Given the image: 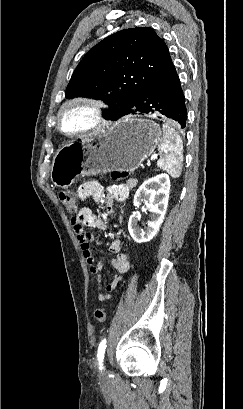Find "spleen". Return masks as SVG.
Segmentation results:
<instances>
[{
  "instance_id": "1",
  "label": "spleen",
  "mask_w": 243,
  "mask_h": 409,
  "mask_svg": "<svg viewBox=\"0 0 243 409\" xmlns=\"http://www.w3.org/2000/svg\"><path fill=\"white\" fill-rule=\"evenodd\" d=\"M162 130L163 136L158 145L160 158L157 166L177 178L182 170L183 142L180 135L168 123L163 124Z\"/></svg>"
}]
</instances>
